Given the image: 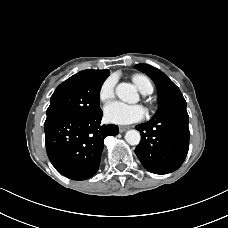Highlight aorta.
Instances as JSON below:
<instances>
[{
	"instance_id": "1",
	"label": "aorta",
	"mask_w": 228,
	"mask_h": 228,
	"mask_svg": "<svg viewBox=\"0 0 228 228\" xmlns=\"http://www.w3.org/2000/svg\"><path fill=\"white\" fill-rule=\"evenodd\" d=\"M116 95L118 98L127 103H136L139 100L137 89L130 83L122 82L116 87ZM141 136L137 130H129L125 134V140L130 145H138Z\"/></svg>"
}]
</instances>
